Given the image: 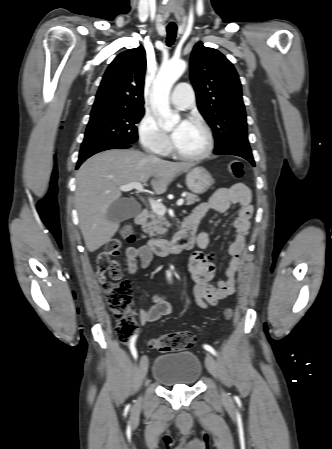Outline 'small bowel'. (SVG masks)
<instances>
[{
  "instance_id": "obj_1",
  "label": "small bowel",
  "mask_w": 332,
  "mask_h": 449,
  "mask_svg": "<svg viewBox=\"0 0 332 449\" xmlns=\"http://www.w3.org/2000/svg\"><path fill=\"white\" fill-rule=\"evenodd\" d=\"M231 204L239 206V214L234 222L235 238L229 248L231 260L226 268V278L224 280L216 284L212 283L216 266L211 261V256L204 252L209 244L208 234L205 232L196 233L194 237V244L201 250L191 256L189 268L194 281V299L201 308L216 304L219 300L233 294L235 290L237 283L236 274L243 264L242 254L246 245L250 218L253 212L251 192L242 183L235 184L230 188H221L207 202L197 205L189 216L193 220L195 229H197L198 224L208 212L224 213ZM126 256L127 271L130 274H134L137 271L139 264L144 269L148 268L153 260V255L146 246L128 247ZM152 300L154 305L140 312L139 322L141 325L156 321L171 312L170 304L161 296L154 295Z\"/></svg>"
}]
</instances>
